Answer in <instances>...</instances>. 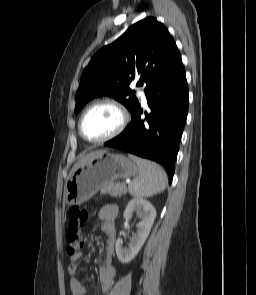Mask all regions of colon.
Here are the masks:
<instances>
[{
	"mask_svg": "<svg viewBox=\"0 0 256 295\" xmlns=\"http://www.w3.org/2000/svg\"><path fill=\"white\" fill-rule=\"evenodd\" d=\"M89 218L88 208L73 206L69 211V222L66 236V253L77 255L83 246V229Z\"/></svg>",
	"mask_w": 256,
	"mask_h": 295,
	"instance_id": "obj_1",
	"label": "colon"
}]
</instances>
